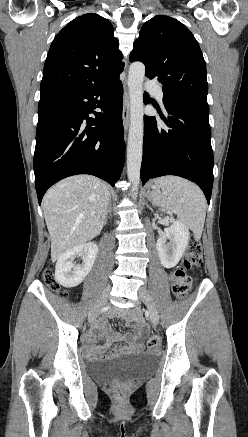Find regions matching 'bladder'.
<instances>
[{
  "label": "bladder",
  "instance_id": "bladder-1",
  "mask_svg": "<svg viewBox=\"0 0 248 437\" xmlns=\"http://www.w3.org/2000/svg\"><path fill=\"white\" fill-rule=\"evenodd\" d=\"M156 359L155 354L148 352L123 355L90 363L88 373L96 381L126 382L149 372Z\"/></svg>",
  "mask_w": 248,
  "mask_h": 437
}]
</instances>
